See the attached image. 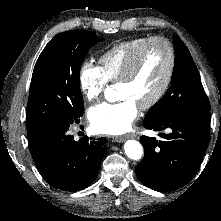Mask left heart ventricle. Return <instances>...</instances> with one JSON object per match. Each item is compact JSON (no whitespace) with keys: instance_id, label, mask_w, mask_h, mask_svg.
I'll list each match as a JSON object with an SVG mask.
<instances>
[{"instance_id":"obj_1","label":"left heart ventricle","mask_w":221,"mask_h":221,"mask_svg":"<svg viewBox=\"0 0 221 221\" xmlns=\"http://www.w3.org/2000/svg\"><path fill=\"white\" fill-rule=\"evenodd\" d=\"M166 46L157 42L145 50L133 79L118 84L120 98H131L138 106L150 100L162 85L168 70Z\"/></svg>"}]
</instances>
